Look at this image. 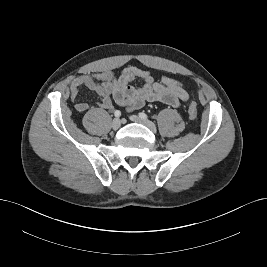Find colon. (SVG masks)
Instances as JSON below:
<instances>
[{
    "label": "colon",
    "mask_w": 267,
    "mask_h": 267,
    "mask_svg": "<svg viewBox=\"0 0 267 267\" xmlns=\"http://www.w3.org/2000/svg\"><path fill=\"white\" fill-rule=\"evenodd\" d=\"M188 114L191 119H196L198 116V111L195 102H191L188 107Z\"/></svg>",
    "instance_id": "1"
}]
</instances>
